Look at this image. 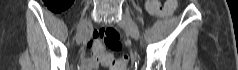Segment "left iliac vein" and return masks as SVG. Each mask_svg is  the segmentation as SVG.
<instances>
[{"instance_id": "obj_1", "label": "left iliac vein", "mask_w": 238, "mask_h": 70, "mask_svg": "<svg viewBox=\"0 0 238 70\" xmlns=\"http://www.w3.org/2000/svg\"><path fill=\"white\" fill-rule=\"evenodd\" d=\"M121 27H123L132 38L138 40L139 39V31L136 23L132 20L129 14H123L122 19L119 23Z\"/></svg>"}]
</instances>
